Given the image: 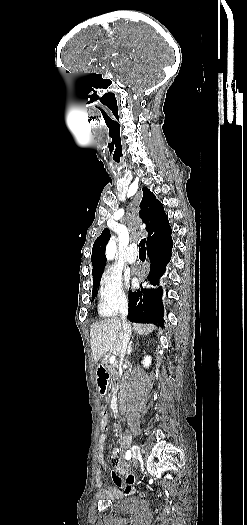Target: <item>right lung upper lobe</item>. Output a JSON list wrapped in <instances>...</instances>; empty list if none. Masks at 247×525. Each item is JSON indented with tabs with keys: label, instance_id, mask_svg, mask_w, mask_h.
Segmentation results:
<instances>
[{
	"label": "right lung upper lobe",
	"instance_id": "1",
	"mask_svg": "<svg viewBox=\"0 0 247 525\" xmlns=\"http://www.w3.org/2000/svg\"><path fill=\"white\" fill-rule=\"evenodd\" d=\"M143 198L140 204V217L146 224L148 237H151L157 231L166 226L169 222L164 212L163 205L155 195L148 189L143 188ZM110 237L108 229H104L102 234L95 240L92 249V275H102L105 266V246Z\"/></svg>",
	"mask_w": 247,
	"mask_h": 525
}]
</instances>
